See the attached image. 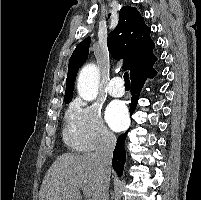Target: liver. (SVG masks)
<instances>
[{
    "label": "liver",
    "instance_id": "liver-1",
    "mask_svg": "<svg viewBox=\"0 0 201 200\" xmlns=\"http://www.w3.org/2000/svg\"><path fill=\"white\" fill-rule=\"evenodd\" d=\"M101 172L94 154L66 153L59 156L46 173L39 200H82L81 185H86L96 200Z\"/></svg>",
    "mask_w": 201,
    "mask_h": 200
}]
</instances>
